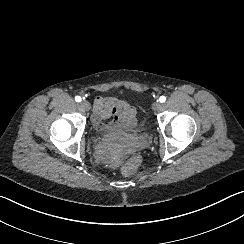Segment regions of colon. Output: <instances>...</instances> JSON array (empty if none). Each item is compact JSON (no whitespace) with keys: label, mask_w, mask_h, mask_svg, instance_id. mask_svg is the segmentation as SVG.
<instances>
[{"label":"colon","mask_w":244,"mask_h":244,"mask_svg":"<svg viewBox=\"0 0 244 244\" xmlns=\"http://www.w3.org/2000/svg\"><path fill=\"white\" fill-rule=\"evenodd\" d=\"M138 171V166L135 163H130L128 165L123 166L122 173L125 176H133Z\"/></svg>","instance_id":"obj_1"}]
</instances>
